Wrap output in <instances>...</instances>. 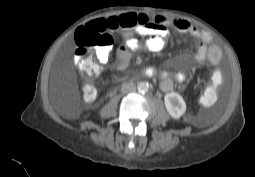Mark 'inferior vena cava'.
Returning <instances> with one entry per match:
<instances>
[{"mask_svg":"<svg viewBox=\"0 0 255 177\" xmlns=\"http://www.w3.org/2000/svg\"><path fill=\"white\" fill-rule=\"evenodd\" d=\"M135 90H136V86L131 82L123 83L122 86H121V92L123 94L132 93Z\"/></svg>","mask_w":255,"mask_h":177,"instance_id":"obj_1","label":"inferior vena cava"}]
</instances>
